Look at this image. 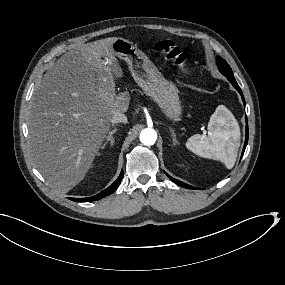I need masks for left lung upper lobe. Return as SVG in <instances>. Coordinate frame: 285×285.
I'll use <instances>...</instances> for the list:
<instances>
[{"instance_id":"left-lung-upper-lobe-1","label":"left lung upper lobe","mask_w":285,"mask_h":285,"mask_svg":"<svg viewBox=\"0 0 285 285\" xmlns=\"http://www.w3.org/2000/svg\"><path fill=\"white\" fill-rule=\"evenodd\" d=\"M216 60H217V66H218L220 72L223 75H225L228 80L233 79L234 75L232 73L230 66L227 64V62L223 58H221L220 56H217Z\"/></svg>"}]
</instances>
